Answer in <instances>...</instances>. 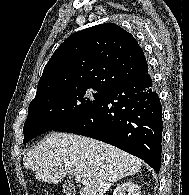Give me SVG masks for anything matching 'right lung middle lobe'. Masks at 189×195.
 <instances>
[{"label":"right lung middle lobe","mask_w":189,"mask_h":195,"mask_svg":"<svg viewBox=\"0 0 189 195\" xmlns=\"http://www.w3.org/2000/svg\"><path fill=\"white\" fill-rule=\"evenodd\" d=\"M107 91L103 87H72L35 98L29 104L23 143L80 116L103 98Z\"/></svg>","instance_id":"dd1d6c3e"}]
</instances>
